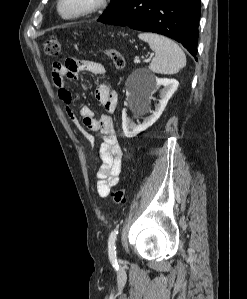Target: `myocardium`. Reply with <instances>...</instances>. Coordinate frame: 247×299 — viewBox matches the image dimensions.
I'll return each mask as SVG.
<instances>
[{
	"label": "myocardium",
	"instance_id": "f54148a6",
	"mask_svg": "<svg viewBox=\"0 0 247 299\" xmlns=\"http://www.w3.org/2000/svg\"><path fill=\"white\" fill-rule=\"evenodd\" d=\"M65 2L66 0H57V14L65 20H76L96 13L107 4L108 0H86L82 7L72 13H66L64 11L63 5Z\"/></svg>",
	"mask_w": 247,
	"mask_h": 299
}]
</instances>
